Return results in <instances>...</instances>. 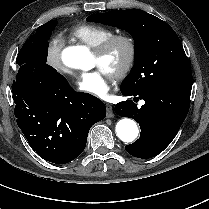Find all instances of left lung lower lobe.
I'll list each match as a JSON object with an SVG mask.
<instances>
[{
	"label": "left lung lower lobe",
	"instance_id": "0a47b994",
	"mask_svg": "<svg viewBox=\"0 0 209 209\" xmlns=\"http://www.w3.org/2000/svg\"><path fill=\"white\" fill-rule=\"evenodd\" d=\"M192 82L156 84L140 91L121 89L124 96L144 99L145 104L137 108L132 100L120 102L115 113L138 121L141 134L126 151L138 158L148 159L160 154L174 139L190 106Z\"/></svg>",
	"mask_w": 209,
	"mask_h": 209
}]
</instances>
